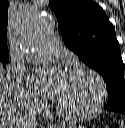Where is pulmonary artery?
<instances>
[{"instance_id": "1", "label": "pulmonary artery", "mask_w": 125, "mask_h": 128, "mask_svg": "<svg viewBox=\"0 0 125 128\" xmlns=\"http://www.w3.org/2000/svg\"><path fill=\"white\" fill-rule=\"evenodd\" d=\"M64 54V49L55 38L47 40L34 53L33 56L39 60L56 59Z\"/></svg>"}]
</instances>
